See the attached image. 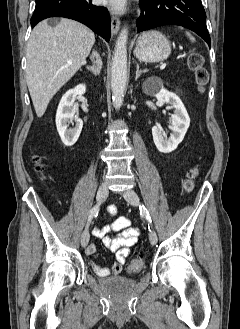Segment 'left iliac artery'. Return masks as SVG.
<instances>
[{
	"instance_id": "obj_1",
	"label": "left iliac artery",
	"mask_w": 240,
	"mask_h": 329,
	"mask_svg": "<svg viewBox=\"0 0 240 329\" xmlns=\"http://www.w3.org/2000/svg\"><path fill=\"white\" fill-rule=\"evenodd\" d=\"M139 208H140V213L144 215L146 220L149 222V224L152 225V220L146 207L144 205H140Z\"/></svg>"
}]
</instances>
